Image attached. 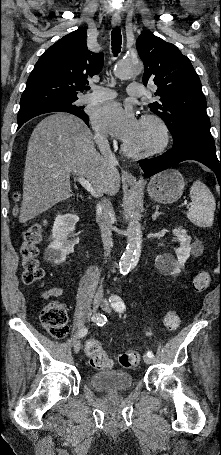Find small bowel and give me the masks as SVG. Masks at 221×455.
I'll list each match as a JSON object with an SVG mask.
<instances>
[{
	"instance_id": "obj_1",
	"label": "small bowel",
	"mask_w": 221,
	"mask_h": 455,
	"mask_svg": "<svg viewBox=\"0 0 221 455\" xmlns=\"http://www.w3.org/2000/svg\"><path fill=\"white\" fill-rule=\"evenodd\" d=\"M66 289L63 287H52L42 294L43 299H49L52 297H59L65 293Z\"/></svg>"
}]
</instances>
